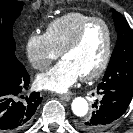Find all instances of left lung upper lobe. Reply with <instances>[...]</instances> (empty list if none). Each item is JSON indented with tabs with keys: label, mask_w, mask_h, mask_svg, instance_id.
Masks as SVG:
<instances>
[{
	"label": "left lung upper lobe",
	"mask_w": 133,
	"mask_h": 133,
	"mask_svg": "<svg viewBox=\"0 0 133 133\" xmlns=\"http://www.w3.org/2000/svg\"><path fill=\"white\" fill-rule=\"evenodd\" d=\"M111 11L118 33L117 43L97 90H119L133 96V31L119 12L114 9ZM85 120L79 123L81 129H86Z\"/></svg>",
	"instance_id": "obj_1"
}]
</instances>
